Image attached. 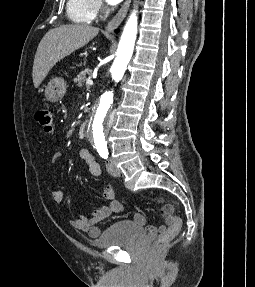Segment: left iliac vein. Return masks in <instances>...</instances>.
Returning a JSON list of instances; mask_svg holds the SVG:
<instances>
[{
    "label": "left iliac vein",
    "instance_id": "1",
    "mask_svg": "<svg viewBox=\"0 0 255 287\" xmlns=\"http://www.w3.org/2000/svg\"><path fill=\"white\" fill-rule=\"evenodd\" d=\"M106 168L108 173L113 176L121 175V170L111 160L106 163Z\"/></svg>",
    "mask_w": 255,
    "mask_h": 287
}]
</instances>
